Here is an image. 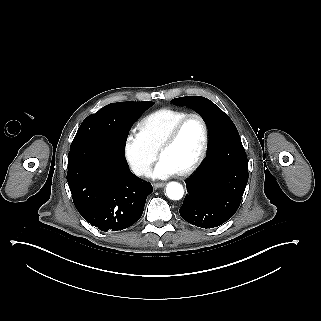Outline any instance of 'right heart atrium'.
Listing matches in <instances>:
<instances>
[{
  "label": "right heart atrium",
  "mask_w": 321,
  "mask_h": 321,
  "mask_svg": "<svg viewBox=\"0 0 321 321\" xmlns=\"http://www.w3.org/2000/svg\"><path fill=\"white\" fill-rule=\"evenodd\" d=\"M124 157L136 176L145 177L155 160L153 145L141 130L132 128L124 140Z\"/></svg>",
  "instance_id": "right-heart-atrium-1"
}]
</instances>
